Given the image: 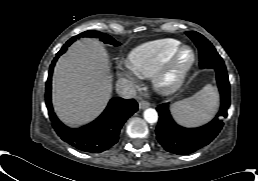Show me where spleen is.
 Here are the masks:
<instances>
[{"mask_svg":"<svg viewBox=\"0 0 258 181\" xmlns=\"http://www.w3.org/2000/svg\"><path fill=\"white\" fill-rule=\"evenodd\" d=\"M217 106L218 93L214 86L207 84L192 97L174 103L170 110L177 123L195 127L209 121Z\"/></svg>","mask_w":258,"mask_h":181,"instance_id":"3e777b00","label":"spleen"}]
</instances>
